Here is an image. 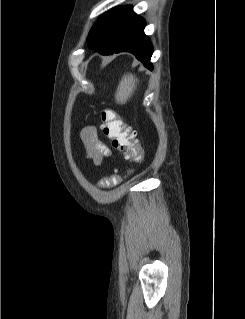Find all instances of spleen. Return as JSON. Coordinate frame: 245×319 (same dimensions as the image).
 I'll list each match as a JSON object with an SVG mask.
<instances>
[{
    "instance_id": "obj_1",
    "label": "spleen",
    "mask_w": 245,
    "mask_h": 319,
    "mask_svg": "<svg viewBox=\"0 0 245 319\" xmlns=\"http://www.w3.org/2000/svg\"><path fill=\"white\" fill-rule=\"evenodd\" d=\"M137 82L138 79L135 75H132L131 73L124 74L115 93L116 103L125 104L133 95L137 87Z\"/></svg>"
}]
</instances>
